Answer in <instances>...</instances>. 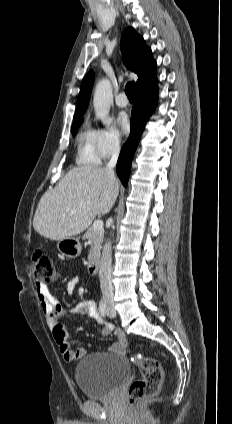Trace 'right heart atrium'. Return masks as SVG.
<instances>
[{
  "mask_svg": "<svg viewBox=\"0 0 232 424\" xmlns=\"http://www.w3.org/2000/svg\"><path fill=\"white\" fill-rule=\"evenodd\" d=\"M96 146L102 158L117 153L121 147V137L117 129L107 126L96 130Z\"/></svg>",
  "mask_w": 232,
  "mask_h": 424,
  "instance_id": "obj_1",
  "label": "right heart atrium"
}]
</instances>
